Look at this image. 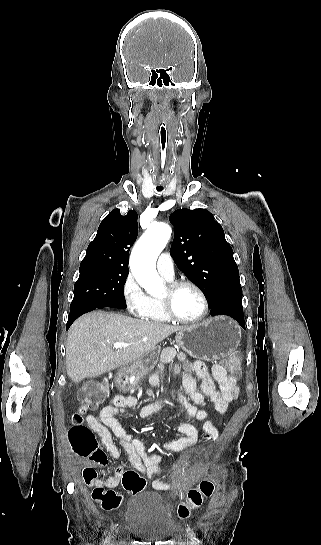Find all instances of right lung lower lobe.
<instances>
[{"mask_svg": "<svg viewBox=\"0 0 321 545\" xmlns=\"http://www.w3.org/2000/svg\"><path fill=\"white\" fill-rule=\"evenodd\" d=\"M96 308H118V309H125L126 308V302L125 303H121V304H118V305H115L114 307H110V306H99V307H94V306H83V307H78L72 311H70L69 313V317H68V322H67V329L71 326V324L79 317L81 316L82 314L86 313V312H89V311H92Z\"/></svg>", "mask_w": 321, "mask_h": 545, "instance_id": "1", "label": "right lung lower lobe"}]
</instances>
